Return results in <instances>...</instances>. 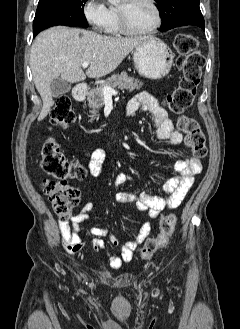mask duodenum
Masks as SVG:
<instances>
[{"mask_svg":"<svg viewBox=\"0 0 240 329\" xmlns=\"http://www.w3.org/2000/svg\"><path fill=\"white\" fill-rule=\"evenodd\" d=\"M86 86L84 84H78L73 89V96L76 101L83 102L86 97Z\"/></svg>","mask_w":240,"mask_h":329,"instance_id":"obj_1","label":"duodenum"}]
</instances>
